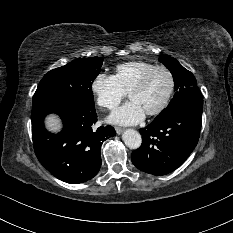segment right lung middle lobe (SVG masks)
<instances>
[{"instance_id":"obj_1","label":"right lung middle lobe","mask_w":233,"mask_h":233,"mask_svg":"<svg viewBox=\"0 0 233 233\" xmlns=\"http://www.w3.org/2000/svg\"><path fill=\"white\" fill-rule=\"evenodd\" d=\"M100 57L81 58L49 71L40 81L33 103L62 102L95 109L92 81L101 71Z\"/></svg>"}]
</instances>
